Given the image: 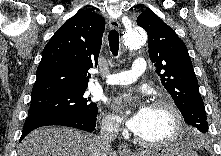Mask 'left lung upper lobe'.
Segmentation results:
<instances>
[{
  "instance_id": "1",
  "label": "left lung upper lobe",
  "mask_w": 221,
  "mask_h": 156,
  "mask_svg": "<svg viewBox=\"0 0 221 156\" xmlns=\"http://www.w3.org/2000/svg\"><path fill=\"white\" fill-rule=\"evenodd\" d=\"M137 24L148 34L149 57L185 122L198 132H207V116L186 45L153 12L140 14Z\"/></svg>"
}]
</instances>
